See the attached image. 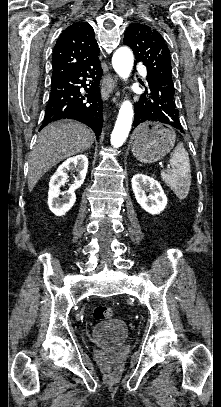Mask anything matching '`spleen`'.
I'll return each instance as SVG.
<instances>
[{"mask_svg": "<svg viewBox=\"0 0 221 407\" xmlns=\"http://www.w3.org/2000/svg\"><path fill=\"white\" fill-rule=\"evenodd\" d=\"M172 169L161 171V177L166 185L180 199H185L191 185L190 160L183 143H178L170 156Z\"/></svg>", "mask_w": 221, "mask_h": 407, "instance_id": "obj_1", "label": "spleen"}]
</instances>
